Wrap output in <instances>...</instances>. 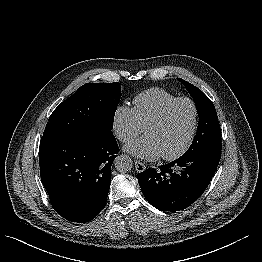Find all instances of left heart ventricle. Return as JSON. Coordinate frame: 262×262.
<instances>
[{
  "instance_id": "b2bd125f",
  "label": "left heart ventricle",
  "mask_w": 262,
  "mask_h": 262,
  "mask_svg": "<svg viewBox=\"0 0 262 262\" xmlns=\"http://www.w3.org/2000/svg\"><path fill=\"white\" fill-rule=\"evenodd\" d=\"M193 108L188 102L176 104L168 113L165 121L146 130L158 144L162 155L177 152L187 141L193 123Z\"/></svg>"
}]
</instances>
